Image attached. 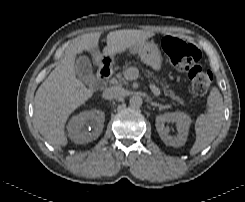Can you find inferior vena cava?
<instances>
[{
    "label": "inferior vena cava",
    "instance_id": "obj_1",
    "mask_svg": "<svg viewBox=\"0 0 245 202\" xmlns=\"http://www.w3.org/2000/svg\"><path fill=\"white\" fill-rule=\"evenodd\" d=\"M125 95V91L120 86L106 88L103 92V97L106 99H118Z\"/></svg>",
    "mask_w": 245,
    "mask_h": 202
}]
</instances>
